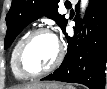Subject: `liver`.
Wrapping results in <instances>:
<instances>
[{
  "label": "liver",
  "instance_id": "1",
  "mask_svg": "<svg viewBox=\"0 0 107 89\" xmlns=\"http://www.w3.org/2000/svg\"><path fill=\"white\" fill-rule=\"evenodd\" d=\"M45 85L46 84H44V83H34V84L19 86L17 89H33L34 87L45 86Z\"/></svg>",
  "mask_w": 107,
  "mask_h": 89
}]
</instances>
